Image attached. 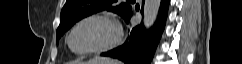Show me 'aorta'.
I'll use <instances>...</instances> for the list:
<instances>
[{
  "label": "aorta",
  "instance_id": "1",
  "mask_svg": "<svg viewBox=\"0 0 242 64\" xmlns=\"http://www.w3.org/2000/svg\"><path fill=\"white\" fill-rule=\"evenodd\" d=\"M160 3V0H145L143 22L146 29L153 26L159 12Z\"/></svg>",
  "mask_w": 242,
  "mask_h": 64
}]
</instances>
